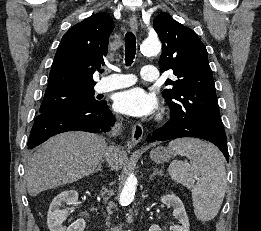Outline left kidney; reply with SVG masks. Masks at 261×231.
<instances>
[{"mask_svg":"<svg viewBox=\"0 0 261 231\" xmlns=\"http://www.w3.org/2000/svg\"><path fill=\"white\" fill-rule=\"evenodd\" d=\"M161 201L169 208L173 207V216L179 220L180 225L174 226V231H190L189 219L185 211L183 202L174 194H168L161 197ZM149 231H162L161 228L154 224Z\"/></svg>","mask_w":261,"mask_h":231,"instance_id":"1","label":"left kidney"}]
</instances>
